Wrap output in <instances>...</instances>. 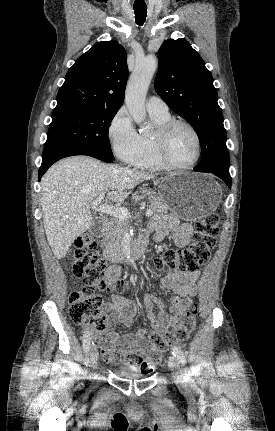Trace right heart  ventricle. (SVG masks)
Segmentation results:
<instances>
[{"instance_id": "right-heart-ventricle-1", "label": "right heart ventricle", "mask_w": 275, "mask_h": 431, "mask_svg": "<svg viewBox=\"0 0 275 431\" xmlns=\"http://www.w3.org/2000/svg\"><path fill=\"white\" fill-rule=\"evenodd\" d=\"M150 117L157 128L171 119L169 113L156 114L150 113ZM143 149L140 156L133 163V166L143 170L159 171L166 169L157 157L154 143V135H142Z\"/></svg>"}]
</instances>
